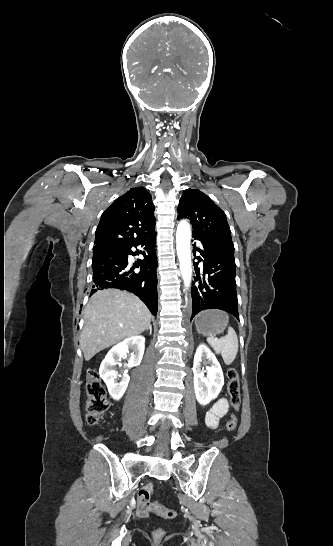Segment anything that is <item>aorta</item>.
<instances>
[{"mask_svg": "<svg viewBox=\"0 0 333 546\" xmlns=\"http://www.w3.org/2000/svg\"><path fill=\"white\" fill-rule=\"evenodd\" d=\"M190 224L182 220L179 222L176 232L177 255L184 285L189 287L192 278L191 254H190Z\"/></svg>", "mask_w": 333, "mask_h": 546, "instance_id": "1", "label": "aorta"}]
</instances>
